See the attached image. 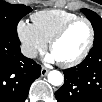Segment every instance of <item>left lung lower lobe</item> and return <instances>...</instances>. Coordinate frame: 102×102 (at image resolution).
Here are the masks:
<instances>
[{"mask_svg": "<svg viewBox=\"0 0 102 102\" xmlns=\"http://www.w3.org/2000/svg\"><path fill=\"white\" fill-rule=\"evenodd\" d=\"M63 72L65 82L55 93L58 102H102V43L94 44L77 67Z\"/></svg>", "mask_w": 102, "mask_h": 102, "instance_id": "1", "label": "left lung lower lobe"}]
</instances>
